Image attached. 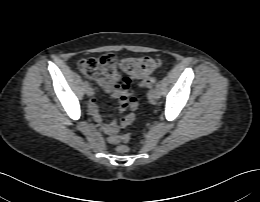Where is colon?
<instances>
[{"label": "colon", "mask_w": 260, "mask_h": 202, "mask_svg": "<svg viewBox=\"0 0 260 202\" xmlns=\"http://www.w3.org/2000/svg\"><path fill=\"white\" fill-rule=\"evenodd\" d=\"M160 61L151 56L127 57L117 61L113 54H104L96 58L82 59L78 68L86 77L99 83H108L118 76L120 69L125 73L124 81L130 78L141 79L139 85L142 87H151L155 84L156 79L151 73L158 68ZM132 137L131 133H125L118 136V141L128 142ZM119 153H127L128 148L120 145L117 148Z\"/></svg>", "instance_id": "5ec220e1"}]
</instances>
